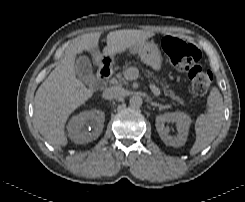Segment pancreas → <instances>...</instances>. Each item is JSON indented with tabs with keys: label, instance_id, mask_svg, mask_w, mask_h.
Returning a JSON list of instances; mask_svg holds the SVG:
<instances>
[{
	"label": "pancreas",
	"instance_id": "cf45deb5",
	"mask_svg": "<svg viewBox=\"0 0 245 202\" xmlns=\"http://www.w3.org/2000/svg\"><path fill=\"white\" fill-rule=\"evenodd\" d=\"M124 69L127 70L128 69V66L126 65L124 67ZM116 76H117V79L119 81H123L124 80L123 77H122V73L119 72ZM147 76L148 77H151L152 76V73L148 72ZM164 94H165V96H169L172 99L177 100L178 102L182 103V100L178 96H176L173 91H168V90L164 89Z\"/></svg>",
	"mask_w": 245,
	"mask_h": 202
}]
</instances>
